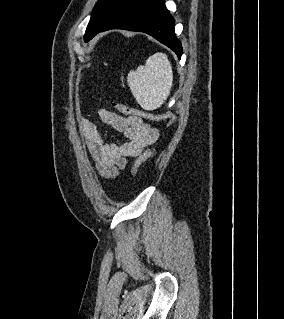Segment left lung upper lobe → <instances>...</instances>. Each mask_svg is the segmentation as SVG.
I'll return each mask as SVG.
<instances>
[{"label": "left lung upper lobe", "instance_id": "left-lung-upper-lobe-1", "mask_svg": "<svg viewBox=\"0 0 284 319\" xmlns=\"http://www.w3.org/2000/svg\"><path fill=\"white\" fill-rule=\"evenodd\" d=\"M123 2L124 0H98L84 35L85 42L99 33Z\"/></svg>", "mask_w": 284, "mask_h": 319}]
</instances>
